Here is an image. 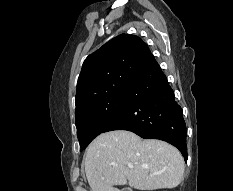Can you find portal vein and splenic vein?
Here are the masks:
<instances>
[{"mask_svg":"<svg viewBox=\"0 0 233 191\" xmlns=\"http://www.w3.org/2000/svg\"><path fill=\"white\" fill-rule=\"evenodd\" d=\"M130 169H133L134 167L132 165L129 166Z\"/></svg>","mask_w":233,"mask_h":191,"instance_id":"18ae733b","label":"portal vein and splenic vein"}]
</instances>
